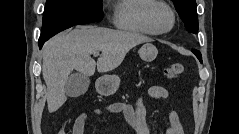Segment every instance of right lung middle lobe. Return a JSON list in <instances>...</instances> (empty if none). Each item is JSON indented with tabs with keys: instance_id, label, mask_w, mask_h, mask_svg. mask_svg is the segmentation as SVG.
Listing matches in <instances>:
<instances>
[{
	"instance_id": "obj_1",
	"label": "right lung middle lobe",
	"mask_w": 239,
	"mask_h": 134,
	"mask_svg": "<svg viewBox=\"0 0 239 134\" xmlns=\"http://www.w3.org/2000/svg\"><path fill=\"white\" fill-rule=\"evenodd\" d=\"M101 0H47L40 38L103 18Z\"/></svg>"
}]
</instances>
